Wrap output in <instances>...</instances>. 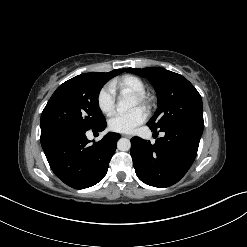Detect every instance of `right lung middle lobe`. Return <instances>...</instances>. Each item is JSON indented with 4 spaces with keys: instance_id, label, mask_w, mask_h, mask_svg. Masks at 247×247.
<instances>
[{
    "instance_id": "obj_1",
    "label": "right lung middle lobe",
    "mask_w": 247,
    "mask_h": 247,
    "mask_svg": "<svg viewBox=\"0 0 247 247\" xmlns=\"http://www.w3.org/2000/svg\"><path fill=\"white\" fill-rule=\"evenodd\" d=\"M111 77L85 73L61 84L41 115V132L52 129L89 130L105 122L98 96Z\"/></svg>"
}]
</instances>
